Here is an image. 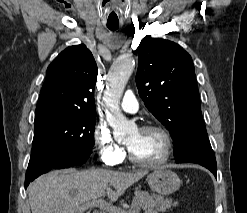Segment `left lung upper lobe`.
<instances>
[{
  "mask_svg": "<svg viewBox=\"0 0 247 213\" xmlns=\"http://www.w3.org/2000/svg\"><path fill=\"white\" fill-rule=\"evenodd\" d=\"M136 84L148 110L169 130L174 154L207 135L191 56L178 44L145 37L138 47Z\"/></svg>",
  "mask_w": 247,
  "mask_h": 213,
  "instance_id": "obj_1",
  "label": "left lung upper lobe"
}]
</instances>
